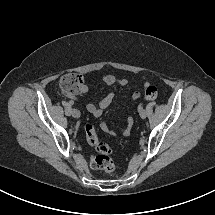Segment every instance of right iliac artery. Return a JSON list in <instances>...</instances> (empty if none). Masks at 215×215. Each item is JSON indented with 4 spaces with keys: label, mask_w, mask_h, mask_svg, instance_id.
Wrapping results in <instances>:
<instances>
[{
    "label": "right iliac artery",
    "mask_w": 215,
    "mask_h": 215,
    "mask_svg": "<svg viewBox=\"0 0 215 215\" xmlns=\"http://www.w3.org/2000/svg\"><path fill=\"white\" fill-rule=\"evenodd\" d=\"M70 105H73V102H69Z\"/></svg>",
    "instance_id": "right-iliac-artery-1"
}]
</instances>
